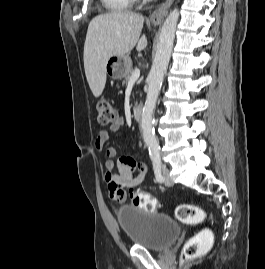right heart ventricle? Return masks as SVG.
<instances>
[{
	"label": "right heart ventricle",
	"mask_w": 265,
	"mask_h": 269,
	"mask_svg": "<svg viewBox=\"0 0 265 269\" xmlns=\"http://www.w3.org/2000/svg\"><path fill=\"white\" fill-rule=\"evenodd\" d=\"M102 2L107 7V9L116 12L130 9L133 6L135 0H102Z\"/></svg>",
	"instance_id": "obj_1"
}]
</instances>
